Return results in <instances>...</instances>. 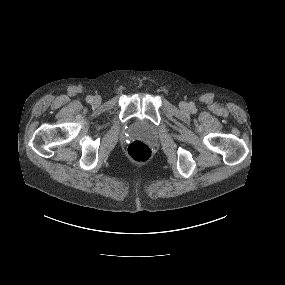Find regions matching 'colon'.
<instances>
[{
  "label": "colon",
  "mask_w": 285,
  "mask_h": 285,
  "mask_svg": "<svg viewBox=\"0 0 285 285\" xmlns=\"http://www.w3.org/2000/svg\"><path fill=\"white\" fill-rule=\"evenodd\" d=\"M128 155L132 161L143 163L151 157V149L142 141H133L128 147Z\"/></svg>",
  "instance_id": "colon-1"
}]
</instances>
